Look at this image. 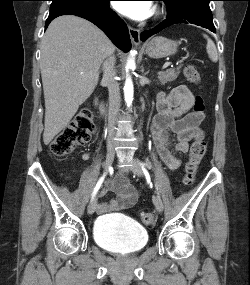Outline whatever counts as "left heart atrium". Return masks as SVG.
<instances>
[{
    "label": "left heart atrium",
    "instance_id": "39dd6f15",
    "mask_svg": "<svg viewBox=\"0 0 250 285\" xmlns=\"http://www.w3.org/2000/svg\"><path fill=\"white\" fill-rule=\"evenodd\" d=\"M114 7L119 13L134 20H144L153 12L150 1H117Z\"/></svg>",
    "mask_w": 250,
    "mask_h": 285
}]
</instances>
